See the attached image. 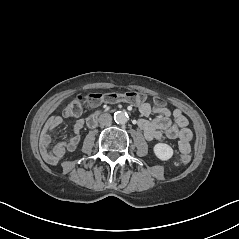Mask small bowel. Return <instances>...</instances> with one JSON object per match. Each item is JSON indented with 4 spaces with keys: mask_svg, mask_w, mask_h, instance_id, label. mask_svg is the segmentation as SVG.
I'll list each match as a JSON object with an SVG mask.
<instances>
[{
    "mask_svg": "<svg viewBox=\"0 0 239 239\" xmlns=\"http://www.w3.org/2000/svg\"><path fill=\"white\" fill-rule=\"evenodd\" d=\"M96 106V105H90ZM143 116L158 114L152 120L140 119L139 127L142 129L147 140H160L165 134L169 139H177L178 147L182 154L190 152V141L192 132L188 128V119L180 109L170 110L164 106H158L155 103L145 102L139 107ZM62 123V117L54 115L45 123L40 135V152L43 159L52 165H55L68 152L76 149L80 141V131L85 125L82 118H78L74 123V135L67 140L56 143L51 147V133Z\"/></svg>",
    "mask_w": 239,
    "mask_h": 239,
    "instance_id": "obj_1",
    "label": "small bowel"
}]
</instances>
